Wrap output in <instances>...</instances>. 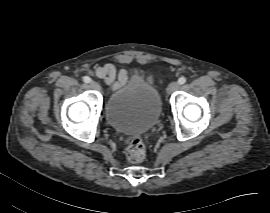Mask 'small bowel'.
<instances>
[{
    "label": "small bowel",
    "instance_id": "1",
    "mask_svg": "<svg viewBox=\"0 0 270 213\" xmlns=\"http://www.w3.org/2000/svg\"><path fill=\"white\" fill-rule=\"evenodd\" d=\"M95 75L102 79L106 84L113 88L119 87L126 80V73L124 70H118L113 64L108 63L98 65L94 69ZM148 81L152 83V76L147 77Z\"/></svg>",
    "mask_w": 270,
    "mask_h": 213
}]
</instances>
